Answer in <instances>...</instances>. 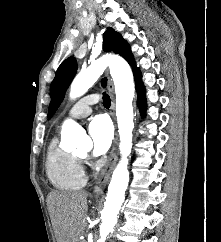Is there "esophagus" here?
I'll use <instances>...</instances> for the list:
<instances>
[{"label": "esophagus", "mask_w": 221, "mask_h": 242, "mask_svg": "<svg viewBox=\"0 0 221 242\" xmlns=\"http://www.w3.org/2000/svg\"><path fill=\"white\" fill-rule=\"evenodd\" d=\"M105 75L108 77V71H105ZM108 89L109 92L111 93V116L112 119L114 121V125L116 128V122H115V103H114V96H113V84L112 82L109 80L108 82ZM118 160V135L117 132H115V137L113 140V145L108 157V160L104 166V168L101 171V174L96 182V185L94 186L93 189V195L95 197H99L100 195H102L103 193V188L107 185L111 173L116 165V162Z\"/></svg>", "instance_id": "1"}]
</instances>
